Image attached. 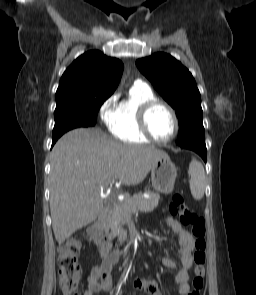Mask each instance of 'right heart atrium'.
Returning a JSON list of instances; mask_svg holds the SVG:
<instances>
[{"mask_svg":"<svg viewBox=\"0 0 256 295\" xmlns=\"http://www.w3.org/2000/svg\"><path fill=\"white\" fill-rule=\"evenodd\" d=\"M115 101H116V96H112L109 99H107L100 107L99 113L106 123L111 113L112 105L115 103Z\"/></svg>","mask_w":256,"mask_h":295,"instance_id":"right-heart-atrium-1","label":"right heart atrium"}]
</instances>
